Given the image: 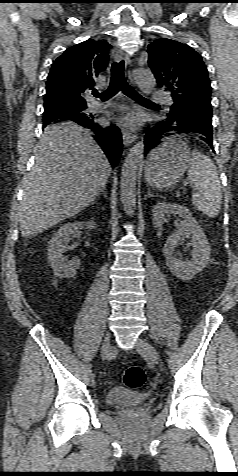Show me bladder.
Here are the masks:
<instances>
[{
    "instance_id": "bladder-1",
    "label": "bladder",
    "mask_w": 238,
    "mask_h": 476,
    "mask_svg": "<svg viewBox=\"0 0 238 476\" xmlns=\"http://www.w3.org/2000/svg\"><path fill=\"white\" fill-rule=\"evenodd\" d=\"M149 397L150 394L148 392L116 386L108 390L105 400L106 404L110 407H130L143 404Z\"/></svg>"
}]
</instances>
